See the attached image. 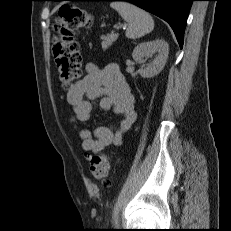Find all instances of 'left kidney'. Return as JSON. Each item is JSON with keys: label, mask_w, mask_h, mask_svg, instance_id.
<instances>
[{"label": "left kidney", "mask_w": 231, "mask_h": 231, "mask_svg": "<svg viewBox=\"0 0 231 231\" xmlns=\"http://www.w3.org/2000/svg\"><path fill=\"white\" fill-rule=\"evenodd\" d=\"M154 53H158V55L147 67L143 68L142 66L140 70V74L144 78L154 77L162 71L168 58L169 45L164 40L156 39L140 43L133 50L132 57L136 62H143L144 58L152 56Z\"/></svg>", "instance_id": "left-kidney-1"}]
</instances>
